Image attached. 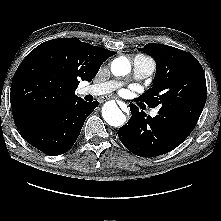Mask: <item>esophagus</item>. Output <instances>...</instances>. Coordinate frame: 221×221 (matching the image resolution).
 <instances>
[{"label": "esophagus", "instance_id": "34e87169", "mask_svg": "<svg viewBox=\"0 0 221 221\" xmlns=\"http://www.w3.org/2000/svg\"><path fill=\"white\" fill-rule=\"evenodd\" d=\"M107 100H108L107 97H106V98H103V101H107ZM120 106L123 108V107H125L126 105H125L123 102H121Z\"/></svg>", "mask_w": 221, "mask_h": 221}]
</instances>
